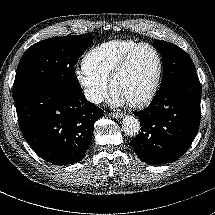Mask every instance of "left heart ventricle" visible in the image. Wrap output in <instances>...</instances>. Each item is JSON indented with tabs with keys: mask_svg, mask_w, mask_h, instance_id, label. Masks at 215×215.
Instances as JSON below:
<instances>
[{
	"mask_svg": "<svg viewBox=\"0 0 215 215\" xmlns=\"http://www.w3.org/2000/svg\"><path fill=\"white\" fill-rule=\"evenodd\" d=\"M157 70V58L149 47L139 48L124 73L116 81L113 94L126 103L140 99L147 91Z\"/></svg>",
	"mask_w": 215,
	"mask_h": 215,
	"instance_id": "obj_1",
	"label": "left heart ventricle"
}]
</instances>
